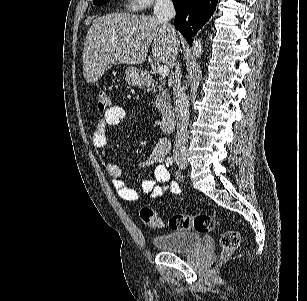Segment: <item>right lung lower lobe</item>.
<instances>
[{"label": "right lung lower lobe", "instance_id": "obj_1", "mask_svg": "<svg viewBox=\"0 0 307 301\" xmlns=\"http://www.w3.org/2000/svg\"><path fill=\"white\" fill-rule=\"evenodd\" d=\"M177 16L174 25L192 44L193 35L206 23L216 9L217 0H173Z\"/></svg>", "mask_w": 307, "mask_h": 301}]
</instances>
